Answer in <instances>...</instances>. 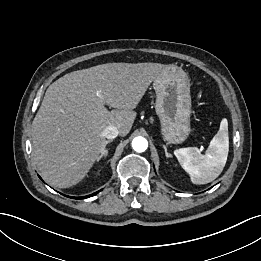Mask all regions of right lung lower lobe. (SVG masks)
Segmentation results:
<instances>
[{"mask_svg":"<svg viewBox=\"0 0 261 261\" xmlns=\"http://www.w3.org/2000/svg\"><path fill=\"white\" fill-rule=\"evenodd\" d=\"M40 179H41V178H40ZM98 192H99V191H98ZM98 192H95V193H93V194H91V195H89V196H84V197H70V198H75V199H84V198L91 197V196L97 194Z\"/></svg>","mask_w":261,"mask_h":261,"instance_id":"obj_1","label":"right lung lower lobe"}]
</instances>
